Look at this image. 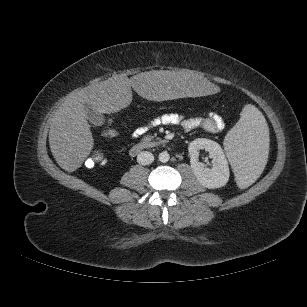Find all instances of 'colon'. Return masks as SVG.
Segmentation results:
<instances>
[{
    "instance_id": "5ec220e1",
    "label": "colon",
    "mask_w": 307,
    "mask_h": 307,
    "mask_svg": "<svg viewBox=\"0 0 307 307\" xmlns=\"http://www.w3.org/2000/svg\"><path fill=\"white\" fill-rule=\"evenodd\" d=\"M110 120L103 129V135L107 138H115L118 135V131L110 126ZM107 163V157L102 151H93L85 160V164L89 168L101 167Z\"/></svg>"
}]
</instances>
